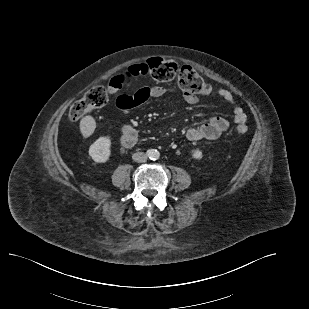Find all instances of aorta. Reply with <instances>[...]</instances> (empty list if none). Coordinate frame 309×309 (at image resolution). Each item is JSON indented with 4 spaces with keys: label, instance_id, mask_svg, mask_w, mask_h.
Returning a JSON list of instances; mask_svg holds the SVG:
<instances>
[{
    "label": "aorta",
    "instance_id": "762f6f07",
    "mask_svg": "<svg viewBox=\"0 0 309 309\" xmlns=\"http://www.w3.org/2000/svg\"><path fill=\"white\" fill-rule=\"evenodd\" d=\"M148 156L151 160H157L160 157V153L157 149H151L148 151Z\"/></svg>",
    "mask_w": 309,
    "mask_h": 309
}]
</instances>
